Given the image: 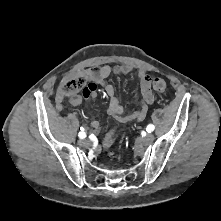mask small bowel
<instances>
[{
	"instance_id": "c3829d8e",
	"label": "small bowel",
	"mask_w": 221,
	"mask_h": 221,
	"mask_svg": "<svg viewBox=\"0 0 221 221\" xmlns=\"http://www.w3.org/2000/svg\"><path fill=\"white\" fill-rule=\"evenodd\" d=\"M132 71V67L129 65H121L117 67H111L104 65L96 68L85 69L80 72V75L89 80L86 87L80 92V95H75L70 98V103L74 107H78L82 104L83 99L88 100L97 96V90L99 85L104 87L105 93L109 98L108 114L121 123L140 122L144 120L147 115L148 106L154 101L153 93L151 91V78L143 70L139 71L138 79L141 90V107L129 115H125V109L120 104L116 95L115 87L112 84L106 83V80L111 74L115 75H127ZM64 96L61 94L60 89L56 95L57 108L62 109ZM90 127L94 132H98L101 129V124L96 121H90L85 128ZM116 139V131L114 129L109 130L103 140L105 147H110Z\"/></svg>"
}]
</instances>
